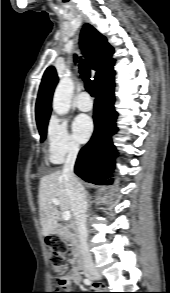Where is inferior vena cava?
<instances>
[{
  "label": "inferior vena cava",
  "instance_id": "obj_1",
  "mask_svg": "<svg viewBox=\"0 0 170 293\" xmlns=\"http://www.w3.org/2000/svg\"><path fill=\"white\" fill-rule=\"evenodd\" d=\"M79 152L78 145H71L63 167V176L71 198L72 211L77 227L83 266L86 271L94 269L93 260L88 248V230L86 225L88 204L83 186L74 174V165Z\"/></svg>",
  "mask_w": 170,
  "mask_h": 293
}]
</instances>
